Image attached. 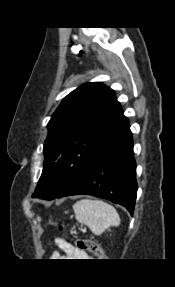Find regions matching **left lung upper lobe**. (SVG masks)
I'll use <instances>...</instances> for the list:
<instances>
[{
    "mask_svg": "<svg viewBox=\"0 0 175 287\" xmlns=\"http://www.w3.org/2000/svg\"><path fill=\"white\" fill-rule=\"evenodd\" d=\"M128 123L115 92L100 82L68 94L48 123L44 168L33 197L55 198Z\"/></svg>",
    "mask_w": 175,
    "mask_h": 287,
    "instance_id": "5c2ea615",
    "label": "left lung upper lobe"
}]
</instances>
